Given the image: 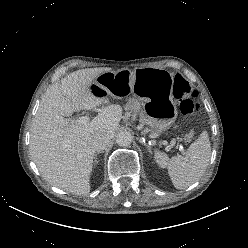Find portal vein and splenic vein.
I'll list each match as a JSON object with an SVG mask.
<instances>
[{
  "label": "portal vein and splenic vein",
  "mask_w": 248,
  "mask_h": 248,
  "mask_svg": "<svg viewBox=\"0 0 248 248\" xmlns=\"http://www.w3.org/2000/svg\"><path fill=\"white\" fill-rule=\"evenodd\" d=\"M77 121L79 123L85 124L89 121V118L87 116H83V117H80Z\"/></svg>",
  "instance_id": "18ae733b"
}]
</instances>
